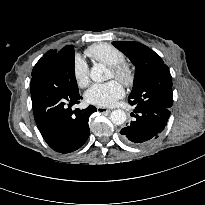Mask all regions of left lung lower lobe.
Returning <instances> with one entry per match:
<instances>
[{"label":"left lung lower lobe","instance_id":"obj_1","mask_svg":"<svg viewBox=\"0 0 205 205\" xmlns=\"http://www.w3.org/2000/svg\"><path fill=\"white\" fill-rule=\"evenodd\" d=\"M134 113L131 115L135 119L121 129L120 134L123 141L137 146L149 144L157 139L170 116L169 109L158 106L135 107Z\"/></svg>","mask_w":205,"mask_h":205}]
</instances>
